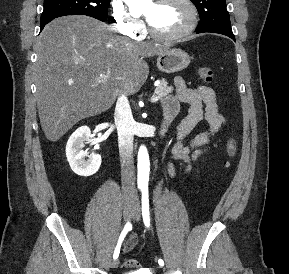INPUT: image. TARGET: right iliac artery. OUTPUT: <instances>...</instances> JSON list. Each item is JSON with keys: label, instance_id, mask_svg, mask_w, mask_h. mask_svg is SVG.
<instances>
[{"label": "right iliac artery", "instance_id": "1", "mask_svg": "<svg viewBox=\"0 0 289 274\" xmlns=\"http://www.w3.org/2000/svg\"><path fill=\"white\" fill-rule=\"evenodd\" d=\"M132 229V225L131 223L128 221L124 227V229L122 230L120 236H119V239H118V243H117V246L114 250V254H113V259H117L118 256H119V253H120V248H121V244L124 240V238L126 237L128 231H130Z\"/></svg>", "mask_w": 289, "mask_h": 274}]
</instances>
